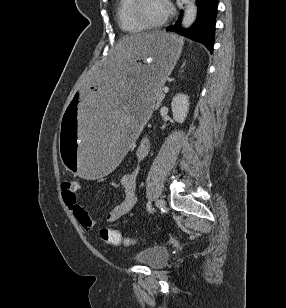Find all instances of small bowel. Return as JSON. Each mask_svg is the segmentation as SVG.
Listing matches in <instances>:
<instances>
[{
  "instance_id": "c3829d8e",
  "label": "small bowel",
  "mask_w": 286,
  "mask_h": 308,
  "mask_svg": "<svg viewBox=\"0 0 286 308\" xmlns=\"http://www.w3.org/2000/svg\"><path fill=\"white\" fill-rule=\"evenodd\" d=\"M149 153V141L142 139L136 150V157L140 160L144 159ZM139 171L137 169L124 174L119 183L114 184L117 187H121L124 191V197L122 201L117 204L107 215V221L110 223L116 222L122 216L128 214L136 201V184ZM63 199L66 205L69 206L74 217L78 223L86 231H93L95 222L89 216L82 204L78 202V195L68 196L63 193Z\"/></svg>"
}]
</instances>
